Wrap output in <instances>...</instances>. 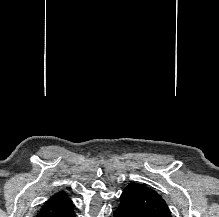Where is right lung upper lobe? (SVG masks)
I'll return each instance as SVG.
<instances>
[{
	"mask_svg": "<svg viewBox=\"0 0 219 217\" xmlns=\"http://www.w3.org/2000/svg\"><path fill=\"white\" fill-rule=\"evenodd\" d=\"M73 207L74 205L66 192L59 191L42 205L36 217H53L69 211Z\"/></svg>",
	"mask_w": 219,
	"mask_h": 217,
	"instance_id": "right-lung-upper-lobe-1",
	"label": "right lung upper lobe"
}]
</instances>
